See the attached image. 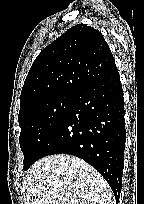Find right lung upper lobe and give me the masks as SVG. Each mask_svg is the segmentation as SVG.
Returning a JSON list of instances; mask_svg holds the SVG:
<instances>
[{
    "label": "right lung upper lobe",
    "instance_id": "1",
    "mask_svg": "<svg viewBox=\"0 0 144 204\" xmlns=\"http://www.w3.org/2000/svg\"><path fill=\"white\" fill-rule=\"evenodd\" d=\"M116 69L102 34L86 24L76 25L37 56L25 79L20 111L62 93L77 94Z\"/></svg>",
    "mask_w": 144,
    "mask_h": 204
}]
</instances>
